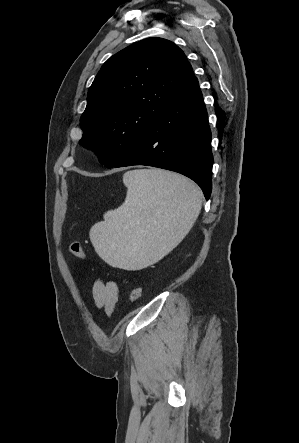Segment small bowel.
<instances>
[{
  "mask_svg": "<svg viewBox=\"0 0 299 443\" xmlns=\"http://www.w3.org/2000/svg\"><path fill=\"white\" fill-rule=\"evenodd\" d=\"M120 294L119 286L114 281L96 279L92 286V295L95 306L103 310L106 315H111L118 302Z\"/></svg>",
  "mask_w": 299,
  "mask_h": 443,
  "instance_id": "obj_1",
  "label": "small bowel"
}]
</instances>
